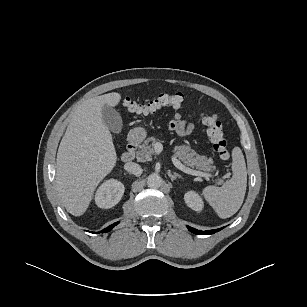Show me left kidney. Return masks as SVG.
Returning a JSON list of instances; mask_svg holds the SVG:
<instances>
[{"label":"left kidney","instance_id":"1","mask_svg":"<svg viewBox=\"0 0 307 307\" xmlns=\"http://www.w3.org/2000/svg\"><path fill=\"white\" fill-rule=\"evenodd\" d=\"M185 203L192 210L200 212L204 207L202 198L195 191H188L184 195Z\"/></svg>","mask_w":307,"mask_h":307}]
</instances>
